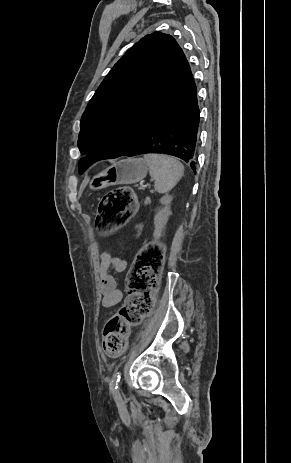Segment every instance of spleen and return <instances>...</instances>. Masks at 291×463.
<instances>
[{
  "label": "spleen",
  "instance_id": "1",
  "mask_svg": "<svg viewBox=\"0 0 291 463\" xmlns=\"http://www.w3.org/2000/svg\"><path fill=\"white\" fill-rule=\"evenodd\" d=\"M144 159L150 176L155 179V189L159 193L170 191L183 177L184 166L178 160L159 154H146Z\"/></svg>",
  "mask_w": 291,
  "mask_h": 463
}]
</instances>
